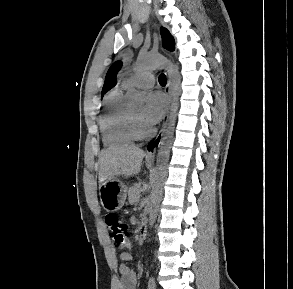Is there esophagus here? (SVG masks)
<instances>
[{"label":"esophagus","instance_id":"obj_1","mask_svg":"<svg viewBox=\"0 0 293 289\" xmlns=\"http://www.w3.org/2000/svg\"><path fill=\"white\" fill-rule=\"evenodd\" d=\"M165 93H166V96H167V103H168L167 114L164 117L163 125H162V128H161L160 132L146 146V159L147 160H154L156 150H157V148L160 146V144L163 141L164 132H165V128H166V124H167V120H168V110H169L170 103H171V88H170V79H169V77L167 79V84H166V87H165Z\"/></svg>","mask_w":293,"mask_h":289}]
</instances>
